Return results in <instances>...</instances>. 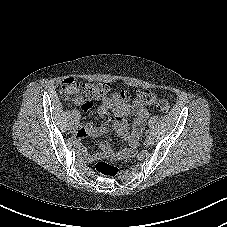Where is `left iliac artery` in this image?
<instances>
[{
  "instance_id": "obj_1",
  "label": "left iliac artery",
  "mask_w": 227,
  "mask_h": 227,
  "mask_svg": "<svg viewBox=\"0 0 227 227\" xmlns=\"http://www.w3.org/2000/svg\"><path fill=\"white\" fill-rule=\"evenodd\" d=\"M150 133H151V132H150L149 130H147L146 134H148V135H149Z\"/></svg>"
}]
</instances>
